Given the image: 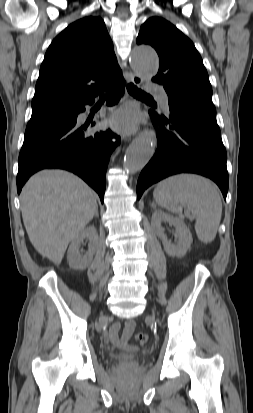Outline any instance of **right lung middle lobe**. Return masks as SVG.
<instances>
[{"label":"right lung middle lobe","instance_id":"right-lung-middle-lobe-1","mask_svg":"<svg viewBox=\"0 0 253 413\" xmlns=\"http://www.w3.org/2000/svg\"><path fill=\"white\" fill-rule=\"evenodd\" d=\"M75 110H62L32 115L26 127L24 138H29L43 132L58 128L72 122Z\"/></svg>","mask_w":253,"mask_h":413}]
</instances>
